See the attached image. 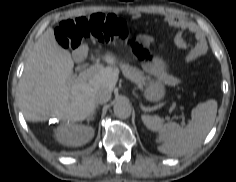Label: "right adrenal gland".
<instances>
[{
	"instance_id": "obj_1",
	"label": "right adrenal gland",
	"mask_w": 236,
	"mask_h": 182,
	"mask_svg": "<svg viewBox=\"0 0 236 182\" xmlns=\"http://www.w3.org/2000/svg\"><path fill=\"white\" fill-rule=\"evenodd\" d=\"M98 107H99V105L95 106V110H94L93 114L88 118V122L94 118V116L96 114V110L98 109Z\"/></svg>"
}]
</instances>
